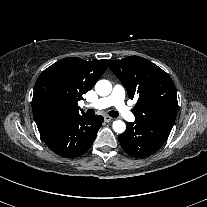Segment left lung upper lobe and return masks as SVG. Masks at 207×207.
Returning <instances> with one entry per match:
<instances>
[{"mask_svg": "<svg viewBox=\"0 0 207 207\" xmlns=\"http://www.w3.org/2000/svg\"><path fill=\"white\" fill-rule=\"evenodd\" d=\"M109 67L127 88L129 98L137 99L135 122L171 130L177 114V94L170 76L139 56L109 61Z\"/></svg>", "mask_w": 207, "mask_h": 207, "instance_id": "5c2ea615", "label": "left lung upper lobe"}]
</instances>
